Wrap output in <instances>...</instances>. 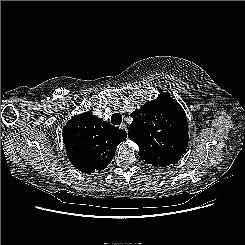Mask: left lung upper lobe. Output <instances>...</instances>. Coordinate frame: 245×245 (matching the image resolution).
Listing matches in <instances>:
<instances>
[{
	"mask_svg": "<svg viewBox=\"0 0 245 245\" xmlns=\"http://www.w3.org/2000/svg\"><path fill=\"white\" fill-rule=\"evenodd\" d=\"M128 137L139 145L148 164L166 167L181 159L188 145V125L183 108L168 94L148 101L131 113Z\"/></svg>",
	"mask_w": 245,
	"mask_h": 245,
	"instance_id": "1",
	"label": "left lung upper lobe"
}]
</instances>
